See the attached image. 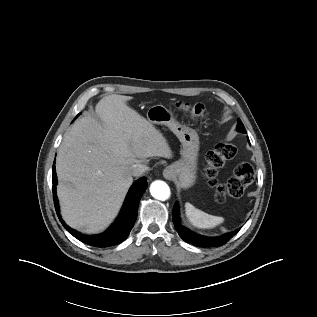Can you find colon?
<instances>
[{"mask_svg": "<svg viewBox=\"0 0 317 317\" xmlns=\"http://www.w3.org/2000/svg\"><path fill=\"white\" fill-rule=\"evenodd\" d=\"M180 112L190 115L192 118L201 120L206 116V109L203 104H189L186 102L177 103ZM236 147L231 143H218L214 150L209 152L206 159V167L203 175L207 185L213 189L217 200H225L228 197L239 198L243 195L245 188L254 179V170L247 163H240L234 170V176L221 184L217 180V174L228 161L236 155Z\"/></svg>", "mask_w": 317, "mask_h": 317, "instance_id": "obj_1", "label": "colon"}]
</instances>
